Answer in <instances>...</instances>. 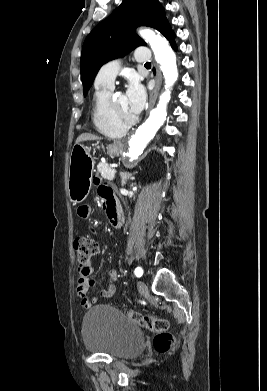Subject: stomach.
Returning a JSON list of instances; mask_svg holds the SVG:
<instances>
[{"label": "stomach", "mask_w": 267, "mask_h": 391, "mask_svg": "<svg viewBox=\"0 0 267 391\" xmlns=\"http://www.w3.org/2000/svg\"><path fill=\"white\" fill-rule=\"evenodd\" d=\"M121 145L117 142L107 147L110 155H118ZM94 160L89 154L87 147L82 144H75L70 156L68 174V194L71 202L81 203L86 199L92 184V172Z\"/></svg>", "instance_id": "0dacf381"}]
</instances>
